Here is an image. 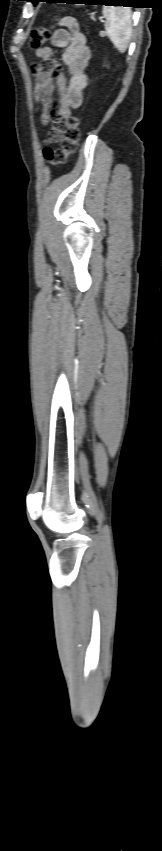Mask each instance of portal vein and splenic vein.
<instances>
[{
  "mask_svg": "<svg viewBox=\"0 0 162 851\" xmlns=\"http://www.w3.org/2000/svg\"><path fill=\"white\" fill-rule=\"evenodd\" d=\"M100 21H101V22H104V20H103V19H101Z\"/></svg>",
  "mask_w": 162,
  "mask_h": 851,
  "instance_id": "18ae733b",
  "label": "portal vein and splenic vein"
}]
</instances>
